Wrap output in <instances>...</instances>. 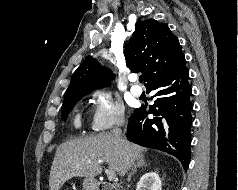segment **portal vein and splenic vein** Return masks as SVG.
Instances as JSON below:
<instances>
[{"label": "portal vein and splenic vein", "instance_id": "1", "mask_svg": "<svg viewBox=\"0 0 238 190\" xmlns=\"http://www.w3.org/2000/svg\"><path fill=\"white\" fill-rule=\"evenodd\" d=\"M106 174L109 180H114L116 178V174L113 171L106 169Z\"/></svg>", "mask_w": 238, "mask_h": 190}]
</instances>
